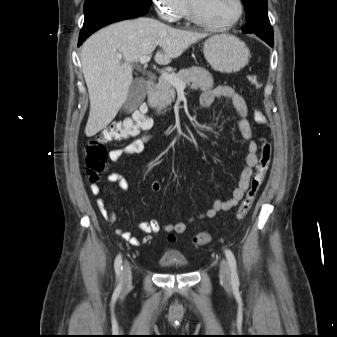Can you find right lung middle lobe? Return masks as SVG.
<instances>
[{
    "mask_svg": "<svg viewBox=\"0 0 337 337\" xmlns=\"http://www.w3.org/2000/svg\"><path fill=\"white\" fill-rule=\"evenodd\" d=\"M105 3H121L135 7L149 8L151 0H86L84 3V13L91 8Z\"/></svg>",
    "mask_w": 337,
    "mask_h": 337,
    "instance_id": "dd1d6c3e",
    "label": "right lung middle lobe"
}]
</instances>
